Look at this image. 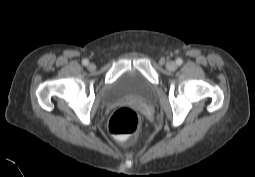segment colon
<instances>
[{"label": "colon", "instance_id": "colon-1", "mask_svg": "<svg viewBox=\"0 0 255 177\" xmlns=\"http://www.w3.org/2000/svg\"><path fill=\"white\" fill-rule=\"evenodd\" d=\"M140 126V116L135 110L128 107L116 110L108 123L110 133L120 140H126L135 135Z\"/></svg>", "mask_w": 255, "mask_h": 177}]
</instances>
